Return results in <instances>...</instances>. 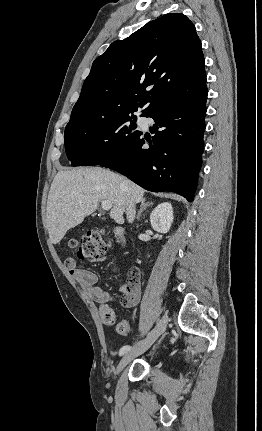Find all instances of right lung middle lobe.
Listing matches in <instances>:
<instances>
[{
    "mask_svg": "<svg viewBox=\"0 0 262 431\" xmlns=\"http://www.w3.org/2000/svg\"><path fill=\"white\" fill-rule=\"evenodd\" d=\"M136 116L86 121L65 128V150L72 166L99 165L121 152L140 132ZM131 121L129 125L127 122Z\"/></svg>",
    "mask_w": 262,
    "mask_h": 431,
    "instance_id": "1",
    "label": "right lung middle lobe"
}]
</instances>
